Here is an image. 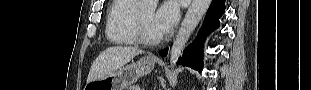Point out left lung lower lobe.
I'll return each mask as SVG.
<instances>
[{"instance_id": "0a47b994", "label": "left lung lower lobe", "mask_w": 311, "mask_h": 90, "mask_svg": "<svg viewBox=\"0 0 311 90\" xmlns=\"http://www.w3.org/2000/svg\"><path fill=\"white\" fill-rule=\"evenodd\" d=\"M225 11V0H213L204 22L203 27L197 39L191 44L184 52L181 59H179L178 64H182L191 67L199 72L202 71V43L204 37L216 29L219 25V18L223 15ZM168 49L160 51L161 56H166Z\"/></svg>"}]
</instances>
